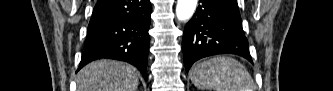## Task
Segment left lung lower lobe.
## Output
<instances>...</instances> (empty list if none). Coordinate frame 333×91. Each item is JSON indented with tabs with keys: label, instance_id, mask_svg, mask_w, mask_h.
Returning <instances> with one entry per match:
<instances>
[{
	"label": "left lung lower lobe",
	"instance_id": "1",
	"mask_svg": "<svg viewBox=\"0 0 333 91\" xmlns=\"http://www.w3.org/2000/svg\"><path fill=\"white\" fill-rule=\"evenodd\" d=\"M184 29L182 48L186 71L201 58L236 54L252 62L242 29L237 0H200Z\"/></svg>",
	"mask_w": 333,
	"mask_h": 91
}]
</instances>
